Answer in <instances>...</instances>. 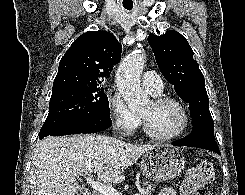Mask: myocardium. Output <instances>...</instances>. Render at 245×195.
Listing matches in <instances>:
<instances>
[{"label": "myocardium", "mask_w": 245, "mask_h": 195, "mask_svg": "<svg viewBox=\"0 0 245 195\" xmlns=\"http://www.w3.org/2000/svg\"><path fill=\"white\" fill-rule=\"evenodd\" d=\"M151 102L155 106H160L163 104H174L178 106L183 114V122H182L181 127L176 132L171 133V134L161 135V134H156L152 132L149 126L147 125L144 117L140 115L142 129L146 136L154 140L169 141V140L176 139L187 132L190 126L191 117H190L188 108L185 106V104L181 100L174 98V97H170V96H158V97H155Z\"/></svg>", "instance_id": "1"}]
</instances>
